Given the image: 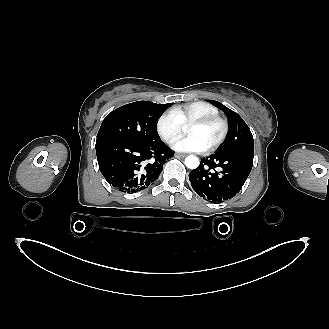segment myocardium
<instances>
[{
    "mask_svg": "<svg viewBox=\"0 0 329 329\" xmlns=\"http://www.w3.org/2000/svg\"><path fill=\"white\" fill-rule=\"evenodd\" d=\"M215 122L221 125V134L219 138L210 147L206 148L207 152H213L217 150L224 143L229 133L228 121L219 115H211L196 118L188 123V126H203Z\"/></svg>",
    "mask_w": 329,
    "mask_h": 329,
    "instance_id": "f54148a6",
    "label": "myocardium"
}]
</instances>
